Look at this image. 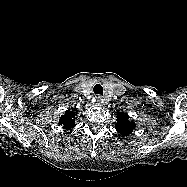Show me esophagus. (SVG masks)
I'll return each instance as SVG.
<instances>
[{
  "label": "esophagus",
  "instance_id": "1",
  "mask_svg": "<svg viewBox=\"0 0 187 187\" xmlns=\"http://www.w3.org/2000/svg\"><path fill=\"white\" fill-rule=\"evenodd\" d=\"M96 102L98 103V104H103V99H102V97L100 96V95H97L96 96Z\"/></svg>",
  "mask_w": 187,
  "mask_h": 187
}]
</instances>
